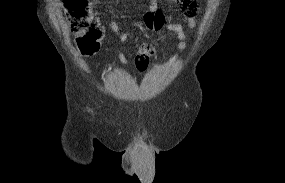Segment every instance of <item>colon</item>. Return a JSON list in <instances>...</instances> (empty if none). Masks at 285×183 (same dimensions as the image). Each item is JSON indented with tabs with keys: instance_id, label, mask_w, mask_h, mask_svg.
Instances as JSON below:
<instances>
[{
	"instance_id": "1",
	"label": "colon",
	"mask_w": 285,
	"mask_h": 183,
	"mask_svg": "<svg viewBox=\"0 0 285 183\" xmlns=\"http://www.w3.org/2000/svg\"><path fill=\"white\" fill-rule=\"evenodd\" d=\"M70 29L77 35L76 44L81 53L92 55L96 53L104 36L102 25L89 11V0H65ZM190 11V9H187ZM139 71L147 67L145 63L136 64Z\"/></svg>"
}]
</instances>
